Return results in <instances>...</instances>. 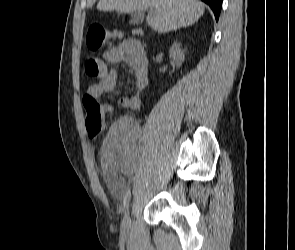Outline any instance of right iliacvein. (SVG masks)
Wrapping results in <instances>:
<instances>
[{
  "label": "right iliac vein",
  "mask_w": 295,
  "mask_h": 250,
  "mask_svg": "<svg viewBox=\"0 0 295 250\" xmlns=\"http://www.w3.org/2000/svg\"><path fill=\"white\" fill-rule=\"evenodd\" d=\"M130 228H131V216H130V212L128 211L121 223V236L123 238H127L129 233H130Z\"/></svg>",
  "instance_id": "obj_1"
}]
</instances>
